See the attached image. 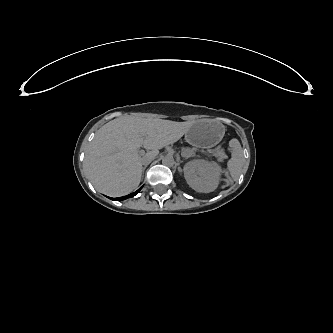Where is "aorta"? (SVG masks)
<instances>
[{
    "instance_id": "1",
    "label": "aorta",
    "mask_w": 333,
    "mask_h": 333,
    "mask_svg": "<svg viewBox=\"0 0 333 333\" xmlns=\"http://www.w3.org/2000/svg\"><path fill=\"white\" fill-rule=\"evenodd\" d=\"M162 164L167 167H172L175 164V159L173 155L167 154L166 156L163 157L162 159Z\"/></svg>"
}]
</instances>
